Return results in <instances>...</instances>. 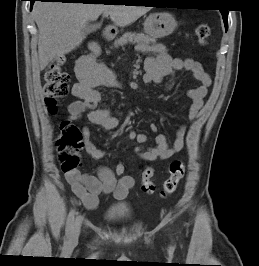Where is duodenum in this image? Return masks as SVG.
<instances>
[{"label": "duodenum", "instance_id": "1", "mask_svg": "<svg viewBox=\"0 0 259 266\" xmlns=\"http://www.w3.org/2000/svg\"><path fill=\"white\" fill-rule=\"evenodd\" d=\"M103 38L106 40H110L114 37V30L111 27H105L102 31ZM92 51L96 53L98 51V47L94 46Z\"/></svg>", "mask_w": 259, "mask_h": 266}]
</instances>
